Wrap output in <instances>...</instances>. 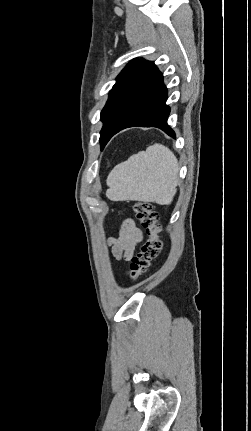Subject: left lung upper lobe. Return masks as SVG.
I'll use <instances>...</instances> for the list:
<instances>
[{
  "instance_id": "obj_1",
  "label": "left lung upper lobe",
  "mask_w": 251,
  "mask_h": 431,
  "mask_svg": "<svg viewBox=\"0 0 251 431\" xmlns=\"http://www.w3.org/2000/svg\"><path fill=\"white\" fill-rule=\"evenodd\" d=\"M154 67L153 62L134 59L117 76L116 83L109 93V99L101 112L100 119L103 121L100 132L101 150L109 141L112 132L123 119Z\"/></svg>"
}]
</instances>
